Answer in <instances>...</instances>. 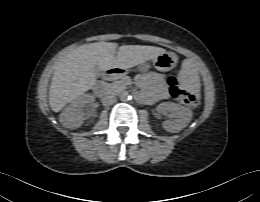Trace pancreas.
Here are the masks:
<instances>
[{
  "mask_svg": "<svg viewBox=\"0 0 260 202\" xmlns=\"http://www.w3.org/2000/svg\"><path fill=\"white\" fill-rule=\"evenodd\" d=\"M125 80L126 78L123 77L122 79L114 83H105V88L108 92H119L120 90L125 88L126 86Z\"/></svg>",
  "mask_w": 260,
  "mask_h": 202,
  "instance_id": "obj_1",
  "label": "pancreas"
}]
</instances>
